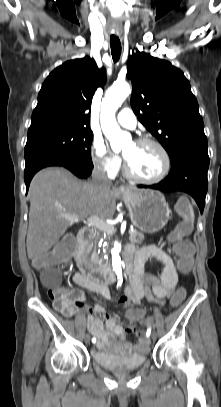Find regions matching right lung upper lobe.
Wrapping results in <instances>:
<instances>
[{
  "instance_id": "1",
  "label": "right lung upper lobe",
  "mask_w": 221,
  "mask_h": 407,
  "mask_svg": "<svg viewBox=\"0 0 221 407\" xmlns=\"http://www.w3.org/2000/svg\"><path fill=\"white\" fill-rule=\"evenodd\" d=\"M106 82V71L90 57L67 61L44 81L29 129L65 125L90 129L92 97Z\"/></svg>"
}]
</instances>
